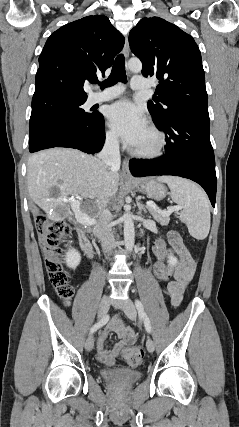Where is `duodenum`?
Instances as JSON below:
<instances>
[{
  "label": "duodenum",
  "instance_id": "duodenum-1",
  "mask_svg": "<svg viewBox=\"0 0 239 427\" xmlns=\"http://www.w3.org/2000/svg\"><path fill=\"white\" fill-rule=\"evenodd\" d=\"M77 231L82 250L85 252L88 258L93 259L95 257V250L89 237L82 228H78Z\"/></svg>",
  "mask_w": 239,
  "mask_h": 427
}]
</instances>
